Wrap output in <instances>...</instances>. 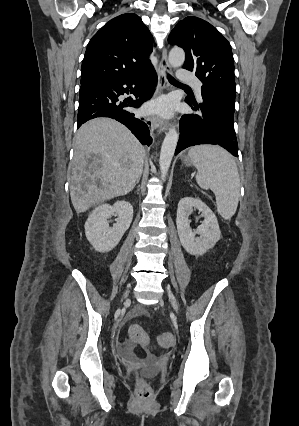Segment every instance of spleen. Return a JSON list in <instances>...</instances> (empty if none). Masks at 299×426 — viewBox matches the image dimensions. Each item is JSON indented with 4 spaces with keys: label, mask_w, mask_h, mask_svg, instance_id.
I'll return each mask as SVG.
<instances>
[{
    "label": "spleen",
    "mask_w": 299,
    "mask_h": 426,
    "mask_svg": "<svg viewBox=\"0 0 299 426\" xmlns=\"http://www.w3.org/2000/svg\"><path fill=\"white\" fill-rule=\"evenodd\" d=\"M188 156L198 170V185L214 192L218 213L230 219L236 212L240 195V178L233 157L211 145L194 146Z\"/></svg>",
    "instance_id": "spleen-1"
}]
</instances>
